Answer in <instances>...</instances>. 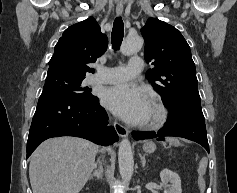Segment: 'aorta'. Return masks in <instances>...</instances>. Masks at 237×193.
<instances>
[{"instance_id": "obj_1", "label": "aorta", "mask_w": 237, "mask_h": 193, "mask_svg": "<svg viewBox=\"0 0 237 193\" xmlns=\"http://www.w3.org/2000/svg\"><path fill=\"white\" fill-rule=\"evenodd\" d=\"M143 40L139 35H128L122 43L121 53L133 55L141 50ZM118 162L121 178L124 183L131 180L134 172V160L131 144L128 139H123L119 144Z\"/></svg>"}]
</instances>
